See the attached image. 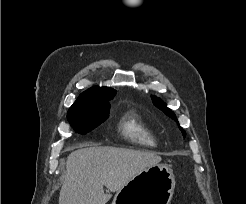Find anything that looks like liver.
I'll list each match as a JSON object with an SVG mask.
<instances>
[{
    "instance_id": "liver-1",
    "label": "liver",
    "mask_w": 246,
    "mask_h": 204,
    "mask_svg": "<svg viewBox=\"0 0 246 204\" xmlns=\"http://www.w3.org/2000/svg\"><path fill=\"white\" fill-rule=\"evenodd\" d=\"M161 157L148 151L90 146L69 154L59 204H106L132 177L157 165Z\"/></svg>"
}]
</instances>
